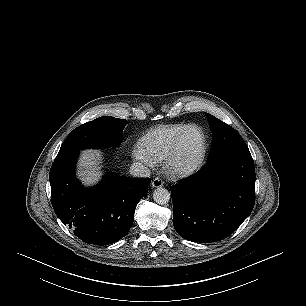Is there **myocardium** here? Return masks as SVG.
Instances as JSON below:
<instances>
[{
	"label": "myocardium",
	"instance_id": "f54148a6",
	"mask_svg": "<svg viewBox=\"0 0 306 306\" xmlns=\"http://www.w3.org/2000/svg\"><path fill=\"white\" fill-rule=\"evenodd\" d=\"M191 130H198L202 135V147L198 154L186 158L183 153V142L187 133ZM208 148V138L202 127L196 124L188 125L177 137L174 147L166 159L167 172L175 177H184L194 173L202 164Z\"/></svg>",
	"mask_w": 306,
	"mask_h": 306
}]
</instances>
